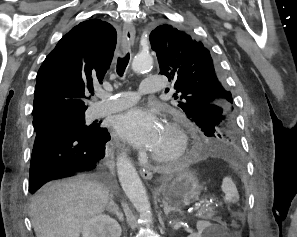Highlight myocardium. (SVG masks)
Listing matches in <instances>:
<instances>
[{"mask_svg": "<svg viewBox=\"0 0 297 237\" xmlns=\"http://www.w3.org/2000/svg\"><path fill=\"white\" fill-rule=\"evenodd\" d=\"M165 126L176 137L177 148L174 152L168 155H160L151 152L150 158L160 165L179 161L187 154L189 148V136L181 117H176L175 119L166 122Z\"/></svg>", "mask_w": 297, "mask_h": 237, "instance_id": "myocardium-1", "label": "myocardium"}]
</instances>
